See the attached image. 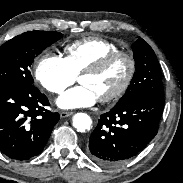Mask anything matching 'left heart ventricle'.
Returning <instances> with one entry per match:
<instances>
[{
    "label": "left heart ventricle",
    "mask_w": 183,
    "mask_h": 183,
    "mask_svg": "<svg viewBox=\"0 0 183 183\" xmlns=\"http://www.w3.org/2000/svg\"><path fill=\"white\" fill-rule=\"evenodd\" d=\"M128 68L127 60L118 58L100 73L81 76L79 82L91 88L98 98L104 97L122 84L128 73Z\"/></svg>",
    "instance_id": "1"
}]
</instances>
